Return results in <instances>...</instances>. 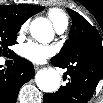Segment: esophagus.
Instances as JSON below:
<instances>
[{
  "label": "esophagus",
  "instance_id": "1",
  "mask_svg": "<svg viewBox=\"0 0 103 103\" xmlns=\"http://www.w3.org/2000/svg\"><path fill=\"white\" fill-rule=\"evenodd\" d=\"M40 68H42V66L41 65H38V64H34V69L37 71V70H39Z\"/></svg>",
  "mask_w": 103,
  "mask_h": 103
}]
</instances>
